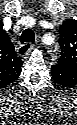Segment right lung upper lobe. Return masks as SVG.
<instances>
[{"mask_svg": "<svg viewBox=\"0 0 77 125\" xmlns=\"http://www.w3.org/2000/svg\"><path fill=\"white\" fill-rule=\"evenodd\" d=\"M23 61L17 57L7 33L0 31V86L4 87L16 80L21 72Z\"/></svg>", "mask_w": 77, "mask_h": 125, "instance_id": "right-lung-upper-lobe-1", "label": "right lung upper lobe"}]
</instances>
